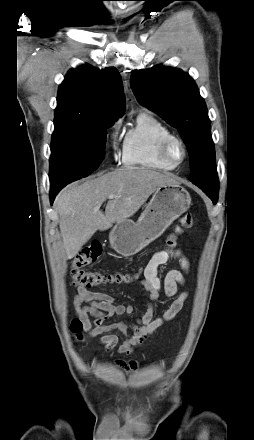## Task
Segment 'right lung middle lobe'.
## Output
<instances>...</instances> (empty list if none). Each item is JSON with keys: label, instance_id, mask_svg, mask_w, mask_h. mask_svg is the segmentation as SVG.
I'll return each mask as SVG.
<instances>
[{"label": "right lung middle lobe", "instance_id": "dd1d6c3e", "mask_svg": "<svg viewBox=\"0 0 254 440\" xmlns=\"http://www.w3.org/2000/svg\"><path fill=\"white\" fill-rule=\"evenodd\" d=\"M114 121L55 118L50 157L51 186L88 176L98 168L105 158L106 128Z\"/></svg>", "mask_w": 254, "mask_h": 440}]
</instances>
